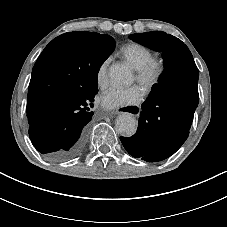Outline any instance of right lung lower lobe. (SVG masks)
<instances>
[{"mask_svg":"<svg viewBox=\"0 0 227 227\" xmlns=\"http://www.w3.org/2000/svg\"><path fill=\"white\" fill-rule=\"evenodd\" d=\"M95 94L60 97L49 108L44 121L30 125L29 136L35 148L54 161L76 157L83 149Z\"/></svg>","mask_w":227,"mask_h":227,"instance_id":"right-lung-lower-lobe-1","label":"right lung lower lobe"}]
</instances>
